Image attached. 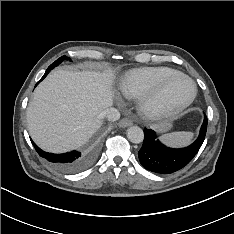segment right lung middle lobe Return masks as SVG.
<instances>
[{
    "label": "right lung middle lobe",
    "mask_w": 234,
    "mask_h": 234,
    "mask_svg": "<svg viewBox=\"0 0 234 234\" xmlns=\"http://www.w3.org/2000/svg\"><path fill=\"white\" fill-rule=\"evenodd\" d=\"M66 59V56H62L59 59H57L53 64H51V68L53 69L55 66H58L63 60ZM68 59V58H67Z\"/></svg>",
    "instance_id": "1"
}]
</instances>
